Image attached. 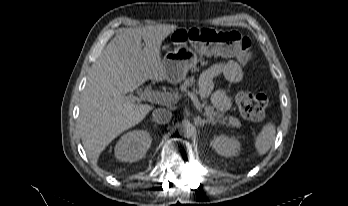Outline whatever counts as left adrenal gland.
<instances>
[{"label":"left adrenal gland","mask_w":348,"mask_h":206,"mask_svg":"<svg viewBox=\"0 0 348 206\" xmlns=\"http://www.w3.org/2000/svg\"><path fill=\"white\" fill-rule=\"evenodd\" d=\"M196 122L198 125L200 126H204L205 124H212L214 125V122L211 120H205V119H201L199 116L196 118Z\"/></svg>","instance_id":"left-adrenal-gland-1"}]
</instances>
